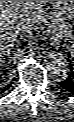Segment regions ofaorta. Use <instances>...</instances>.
<instances>
[{"label": "aorta", "mask_w": 74, "mask_h": 122, "mask_svg": "<svg viewBox=\"0 0 74 122\" xmlns=\"http://www.w3.org/2000/svg\"><path fill=\"white\" fill-rule=\"evenodd\" d=\"M44 63L47 70L55 75L64 74L68 69L67 58L60 52L49 51L44 58Z\"/></svg>", "instance_id": "aorta-1"}]
</instances>
